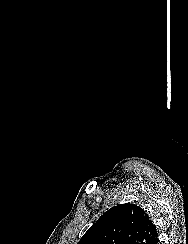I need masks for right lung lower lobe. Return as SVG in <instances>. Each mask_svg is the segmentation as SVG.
I'll list each match as a JSON object with an SVG mask.
<instances>
[{"instance_id": "1", "label": "right lung lower lobe", "mask_w": 188, "mask_h": 244, "mask_svg": "<svg viewBox=\"0 0 188 244\" xmlns=\"http://www.w3.org/2000/svg\"><path fill=\"white\" fill-rule=\"evenodd\" d=\"M158 236L156 237V238H154L151 242H150V244H158Z\"/></svg>"}]
</instances>
